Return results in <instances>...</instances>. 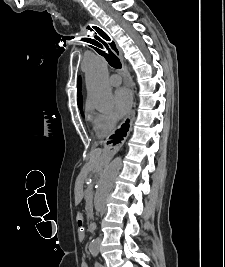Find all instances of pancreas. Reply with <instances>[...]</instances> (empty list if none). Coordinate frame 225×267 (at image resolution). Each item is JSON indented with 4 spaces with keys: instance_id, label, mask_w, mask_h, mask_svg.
I'll use <instances>...</instances> for the list:
<instances>
[{
    "instance_id": "obj_1",
    "label": "pancreas",
    "mask_w": 225,
    "mask_h": 267,
    "mask_svg": "<svg viewBox=\"0 0 225 267\" xmlns=\"http://www.w3.org/2000/svg\"><path fill=\"white\" fill-rule=\"evenodd\" d=\"M85 201H86V205H87V210L90 211L91 210V202H92V192H91V188H87L85 191Z\"/></svg>"
}]
</instances>
